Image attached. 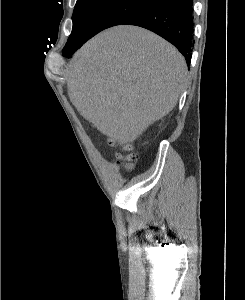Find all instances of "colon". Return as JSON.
<instances>
[{"label":"colon","mask_w":245,"mask_h":300,"mask_svg":"<svg viewBox=\"0 0 245 300\" xmlns=\"http://www.w3.org/2000/svg\"><path fill=\"white\" fill-rule=\"evenodd\" d=\"M123 150H124V151H129V150H130V146H128V145L124 146V147H123ZM118 158H119V159H124V160H126V161H127V167H128V168H131V167H132L133 162H134V160H135L134 155H131V154H129V155L125 156V157L122 156V155H118Z\"/></svg>","instance_id":"5ec220e1"}]
</instances>
